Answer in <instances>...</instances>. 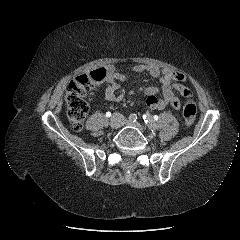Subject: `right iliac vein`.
Here are the masks:
<instances>
[{
	"label": "right iliac vein",
	"instance_id": "63e3f726",
	"mask_svg": "<svg viewBox=\"0 0 240 240\" xmlns=\"http://www.w3.org/2000/svg\"><path fill=\"white\" fill-rule=\"evenodd\" d=\"M122 124V119L118 116V115H114L111 117L110 122H109V126L112 129H117L121 126Z\"/></svg>",
	"mask_w": 240,
	"mask_h": 240
}]
</instances>
